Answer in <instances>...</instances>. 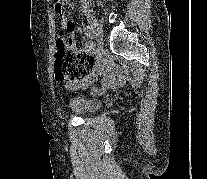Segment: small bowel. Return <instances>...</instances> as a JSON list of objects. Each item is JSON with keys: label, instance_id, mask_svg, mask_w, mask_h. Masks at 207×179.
I'll use <instances>...</instances> for the list:
<instances>
[{"label": "small bowel", "instance_id": "1", "mask_svg": "<svg viewBox=\"0 0 207 179\" xmlns=\"http://www.w3.org/2000/svg\"><path fill=\"white\" fill-rule=\"evenodd\" d=\"M62 26L70 31L74 30V24L72 21L63 19ZM72 47H76L75 39L72 37L70 39ZM90 53V49H86ZM92 72L86 79V82L82 86H87L88 84L97 80L96 74H101L102 78L100 80V86L94 87L92 91L94 93L101 94L106 89H113L120 86L124 82L122 72L120 69L114 67L112 63L104 56L91 57Z\"/></svg>", "mask_w": 207, "mask_h": 179}]
</instances>
